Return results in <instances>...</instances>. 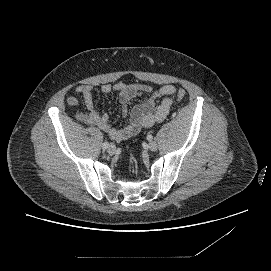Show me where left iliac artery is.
<instances>
[{
    "mask_svg": "<svg viewBox=\"0 0 271 271\" xmlns=\"http://www.w3.org/2000/svg\"><path fill=\"white\" fill-rule=\"evenodd\" d=\"M152 139H153V136H152L151 134H148V135H147V140H148V141H152Z\"/></svg>",
    "mask_w": 271,
    "mask_h": 271,
    "instance_id": "44dca946",
    "label": "left iliac artery"
}]
</instances>
